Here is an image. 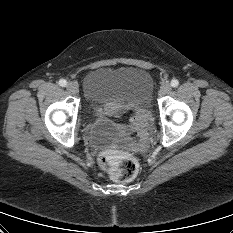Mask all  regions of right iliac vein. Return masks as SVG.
Returning <instances> with one entry per match:
<instances>
[{"label": "right iliac vein", "instance_id": "right-iliac-vein-1", "mask_svg": "<svg viewBox=\"0 0 233 233\" xmlns=\"http://www.w3.org/2000/svg\"><path fill=\"white\" fill-rule=\"evenodd\" d=\"M67 90L72 94H76L78 92V85L74 82H69L67 84Z\"/></svg>", "mask_w": 233, "mask_h": 233}]
</instances>
